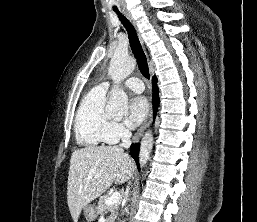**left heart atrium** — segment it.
I'll use <instances>...</instances> for the list:
<instances>
[{"instance_id": "1", "label": "left heart atrium", "mask_w": 257, "mask_h": 222, "mask_svg": "<svg viewBox=\"0 0 257 222\" xmlns=\"http://www.w3.org/2000/svg\"><path fill=\"white\" fill-rule=\"evenodd\" d=\"M149 104L144 96H136L129 103V125L138 126L147 116Z\"/></svg>"}]
</instances>
